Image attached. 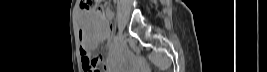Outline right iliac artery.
<instances>
[{"instance_id": "right-iliac-artery-1", "label": "right iliac artery", "mask_w": 267, "mask_h": 72, "mask_svg": "<svg viewBox=\"0 0 267 72\" xmlns=\"http://www.w3.org/2000/svg\"><path fill=\"white\" fill-rule=\"evenodd\" d=\"M119 39H120V36L119 35L114 36V42L115 43H117L119 41Z\"/></svg>"}]
</instances>
